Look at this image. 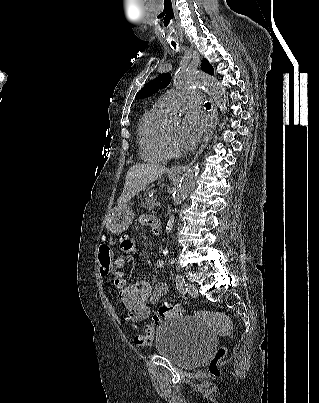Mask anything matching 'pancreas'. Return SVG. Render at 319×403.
<instances>
[{"mask_svg":"<svg viewBox=\"0 0 319 403\" xmlns=\"http://www.w3.org/2000/svg\"><path fill=\"white\" fill-rule=\"evenodd\" d=\"M156 200L154 198H146L143 207L148 210H153L155 206Z\"/></svg>","mask_w":319,"mask_h":403,"instance_id":"pancreas-1","label":"pancreas"}]
</instances>
